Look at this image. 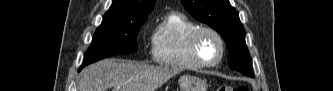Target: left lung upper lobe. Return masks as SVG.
Instances as JSON below:
<instances>
[{
	"instance_id": "obj_1",
	"label": "left lung upper lobe",
	"mask_w": 333,
	"mask_h": 91,
	"mask_svg": "<svg viewBox=\"0 0 333 91\" xmlns=\"http://www.w3.org/2000/svg\"><path fill=\"white\" fill-rule=\"evenodd\" d=\"M187 11L198 21L221 34L228 50L229 67L252 77L250 54L245 43V31L238 12L229 0H181Z\"/></svg>"
}]
</instances>
